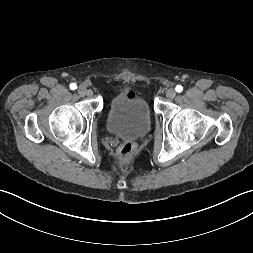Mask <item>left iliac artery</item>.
<instances>
[{"mask_svg": "<svg viewBox=\"0 0 253 253\" xmlns=\"http://www.w3.org/2000/svg\"><path fill=\"white\" fill-rule=\"evenodd\" d=\"M175 90H176L178 93H180V92H182L183 87H182L181 85H177L176 88H175Z\"/></svg>", "mask_w": 253, "mask_h": 253, "instance_id": "44dca946", "label": "left iliac artery"}]
</instances>
